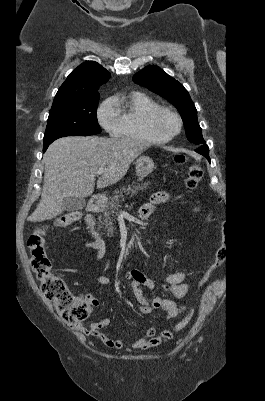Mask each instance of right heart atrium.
Here are the masks:
<instances>
[{
  "mask_svg": "<svg viewBox=\"0 0 265 401\" xmlns=\"http://www.w3.org/2000/svg\"><path fill=\"white\" fill-rule=\"evenodd\" d=\"M97 118L100 124L109 131H114L118 123V116L115 114L112 99L104 100L97 109Z\"/></svg>",
  "mask_w": 265,
  "mask_h": 401,
  "instance_id": "right-heart-atrium-1",
  "label": "right heart atrium"
}]
</instances>
